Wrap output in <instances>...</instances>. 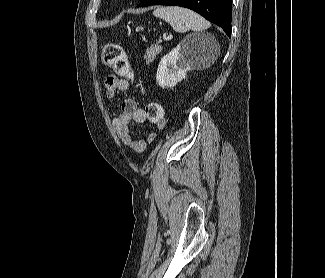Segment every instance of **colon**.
Returning <instances> with one entry per match:
<instances>
[{
    "label": "colon",
    "instance_id": "1",
    "mask_svg": "<svg viewBox=\"0 0 325 278\" xmlns=\"http://www.w3.org/2000/svg\"><path fill=\"white\" fill-rule=\"evenodd\" d=\"M102 63L110 67L118 76L132 78L127 54L122 46L114 43L105 45L102 53ZM145 116L148 121L161 125L165 119L164 108L161 104L152 102L146 106Z\"/></svg>",
    "mask_w": 325,
    "mask_h": 278
}]
</instances>
